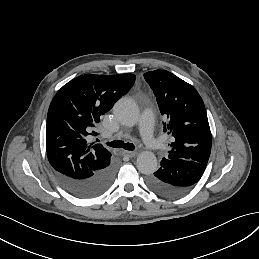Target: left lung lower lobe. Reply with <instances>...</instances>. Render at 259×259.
Returning a JSON list of instances; mask_svg holds the SVG:
<instances>
[{
  "mask_svg": "<svg viewBox=\"0 0 259 259\" xmlns=\"http://www.w3.org/2000/svg\"><path fill=\"white\" fill-rule=\"evenodd\" d=\"M161 167L147 177L149 188L164 197L188 193L202 177L206 165L193 160L163 158Z\"/></svg>",
  "mask_w": 259,
  "mask_h": 259,
  "instance_id": "0a47b994",
  "label": "left lung lower lobe"
}]
</instances>
